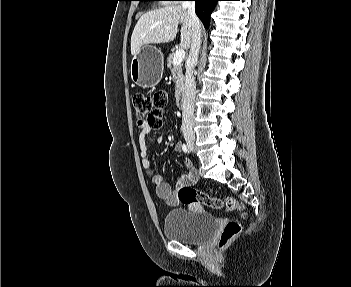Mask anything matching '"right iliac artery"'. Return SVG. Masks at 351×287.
<instances>
[{
	"instance_id": "right-iliac-artery-1",
	"label": "right iliac artery",
	"mask_w": 351,
	"mask_h": 287,
	"mask_svg": "<svg viewBox=\"0 0 351 287\" xmlns=\"http://www.w3.org/2000/svg\"><path fill=\"white\" fill-rule=\"evenodd\" d=\"M182 149L185 153H189V149L186 144H183Z\"/></svg>"
}]
</instances>
